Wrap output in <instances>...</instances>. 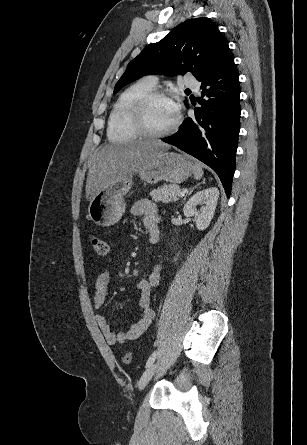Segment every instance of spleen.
<instances>
[{"instance_id":"1","label":"spleen","mask_w":307,"mask_h":445,"mask_svg":"<svg viewBox=\"0 0 307 445\" xmlns=\"http://www.w3.org/2000/svg\"><path fill=\"white\" fill-rule=\"evenodd\" d=\"M193 174H194V178H197V180H199V178H201V176H203V168H202V164H200V162H195V166L193 168Z\"/></svg>"}]
</instances>
